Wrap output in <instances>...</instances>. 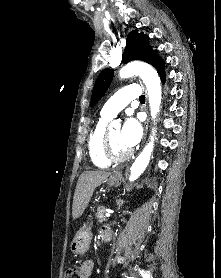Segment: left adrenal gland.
Masks as SVG:
<instances>
[{
    "label": "left adrenal gland",
    "mask_w": 221,
    "mask_h": 278,
    "mask_svg": "<svg viewBox=\"0 0 221 278\" xmlns=\"http://www.w3.org/2000/svg\"><path fill=\"white\" fill-rule=\"evenodd\" d=\"M123 203H124L123 200H121V199L117 200L118 209H120L122 207Z\"/></svg>",
    "instance_id": "a2214340"
}]
</instances>
